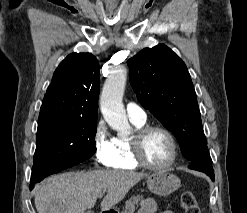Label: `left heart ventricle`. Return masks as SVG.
I'll use <instances>...</instances> for the list:
<instances>
[{
  "label": "left heart ventricle",
  "instance_id": "1",
  "mask_svg": "<svg viewBox=\"0 0 247 213\" xmlns=\"http://www.w3.org/2000/svg\"><path fill=\"white\" fill-rule=\"evenodd\" d=\"M142 153L153 165L165 164L171 156V145L167 136L160 131L150 132L143 140Z\"/></svg>",
  "mask_w": 247,
  "mask_h": 213
}]
</instances>
